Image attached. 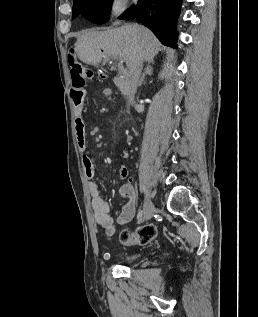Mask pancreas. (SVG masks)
I'll return each instance as SVG.
<instances>
[{
	"instance_id": "obj_1",
	"label": "pancreas",
	"mask_w": 258,
	"mask_h": 317,
	"mask_svg": "<svg viewBox=\"0 0 258 317\" xmlns=\"http://www.w3.org/2000/svg\"><path fill=\"white\" fill-rule=\"evenodd\" d=\"M118 79H121V78H117V80H118ZM119 88H123V86H119Z\"/></svg>"
}]
</instances>
